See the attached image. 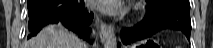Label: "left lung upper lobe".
<instances>
[{"label": "left lung upper lobe", "mask_w": 213, "mask_h": 48, "mask_svg": "<svg viewBox=\"0 0 213 48\" xmlns=\"http://www.w3.org/2000/svg\"><path fill=\"white\" fill-rule=\"evenodd\" d=\"M149 5H158L161 3H174L176 5L190 9L189 0H146Z\"/></svg>", "instance_id": "left-lung-upper-lobe-1"}]
</instances>
